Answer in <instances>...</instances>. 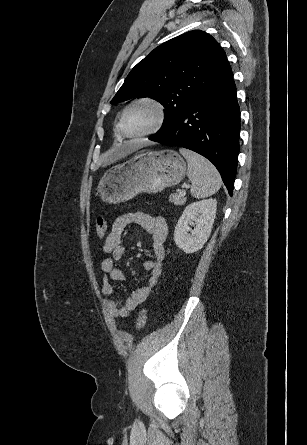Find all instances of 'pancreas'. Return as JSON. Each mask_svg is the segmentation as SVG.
I'll return each instance as SVG.
<instances>
[{
	"mask_svg": "<svg viewBox=\"0 0 307 445\" xmlns=\"http://www.w3.org/2000/svg\"><path fill=\"white\" fill-rule=\"evenodd\" d=\"M169 200L170 202H174V204H185L187 196H184V194H178V192H173V194H170Z\"/></svg>",
	"mask_w": 307,
	"mask_h": 445,
	"instance_id": "1",
	"label": "pancreas"
}]
</instances>
